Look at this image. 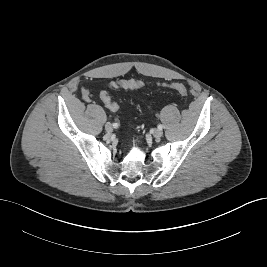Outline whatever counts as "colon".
Masks as SVG:
<instances>
[{"label":"colon","instance_id":"obj_1","mask_svg":"<svg viewBox=\"0 0 267 267\" xmlns=\"http://www.w3.org/2000/svg\"><path fill=\"white\" fill-rule=\"evenodd\" d=\"M164 86L175 90L176 92H178L179 94L183 96H186L188 93L187 88L181 83H172V84H168ZM110 87L138 90V89L143 88L144 84L140 81L133 80V79L119 80V81L112 82L110 84ZM100 98L109 110L117 111L119 109V105L111 99L107 91H102L100 94Z\"/></svg>","mask_w":267,"mask_h":267}]
</instances>
